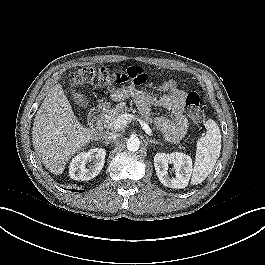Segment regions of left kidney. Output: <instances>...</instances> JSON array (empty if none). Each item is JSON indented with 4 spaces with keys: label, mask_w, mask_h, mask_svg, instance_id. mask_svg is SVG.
I'll list each match as a JSON object with an SVG mask.
<instances>
[{
    "label": "left kidney",
    "mask_w": 265,
    "mask_h": 265,
    "mask_svg": "<svg viewBox=\"0 0 265 265\" xmlns=\"http://www.w3.org/2000/svg\"><path fill=\"white\" fill-rule=\"evenodd\" d=\"M169 164L174 166L175 178L168 175ZM154 166L160 182L166 187L175 189L185 188L193 171L191 157L180 152L157 153L154 156Z\"/></svg>",
    "instance_id": "1"
}]
</instances>
